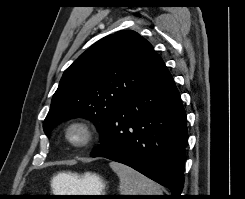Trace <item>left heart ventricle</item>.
Here are the masks:
<instances>
[{
	"label": "left heart ventricle",
	"mask_w": 245,
	"mask_h": 199,
	"mask_svg": "<svg viewBox=\"0 0 245 199\" xmlns=\"http://www.w3.org/2000/svg\"><path fill=\"white\" fill-rule=\"evenodd\" d=\"M70 137L72 138V140H74L75 142H80L83 140L84 138V133L81 129L79 128H74L71 130L70 132Z\"/></svg>",
	"instance_id": "left-heart-ventricle-1"
}]
</instances>
